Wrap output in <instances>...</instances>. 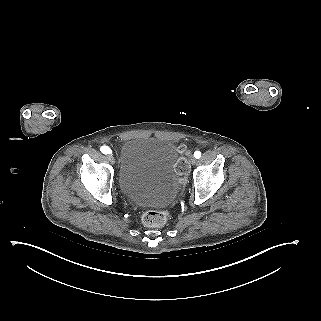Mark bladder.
Segmentation results:
<instances>
[{
	"mask_svg": "<svg viewBox=\"0 0 321 321\" xmlns=\"http://www.w3.org/2000/svg\"><path fill=\"white\" fill-rule=\"evenodd\" d=\"M178 160L177 147L169 140L130 138L123 143L119 154V187L137 204H168L179 190Z\"/></svg>",
	"mask_w": 321,
	"mask_h": 321,
	"instance_id": "1",
	"label": "bladder"
}]
</instances>
